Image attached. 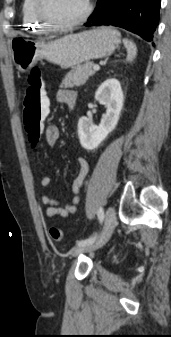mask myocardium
Listing matches in <instances>:
<instances>
[{
	"mask_svg": "<svg viewBox=\"0 0 171 337\" xmlns=\"http://www.w3.org/2000/svg\"><path fill=\"white\" fill-rule=\"evenodd\" d=\"M46 3L47 0H37L36 2V13L38 19L42 22V24L54 31H61L73 28L82 22H84L91 14L92 12V3L91 0H86V7L85 10L82 12L80 16H78L76 19L68 22L58 23L53 21L46 12Z\"/></svg>",
	"mask_w": 171,
	"mask_h": 337,
	"instance_id": "f54148a6",
	"label": "myocardium"
}]
</instances>
